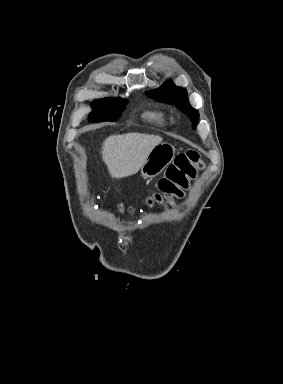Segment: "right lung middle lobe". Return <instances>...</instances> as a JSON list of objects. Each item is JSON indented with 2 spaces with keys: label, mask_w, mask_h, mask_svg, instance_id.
<instances>
[{
  "label": "right lung middle lobe",
  "mask_w": 283,
  "mask_h": 384,
  "mask_svg": "<svg viewBox=\"0 0 283 384\" xmlns=\"http://www.w3.org/2000/svg\"><path fill=\"white\" fill-rule=\"evenodd\" d=\"M126 100L119 98H105L97 100L93 103L96 108L90 113L89 122L116 121L121 115V111L125 109Z\"/></svg>",
  "instance_id": "right-lung-middle-lobe-1"
}]
</instances>
